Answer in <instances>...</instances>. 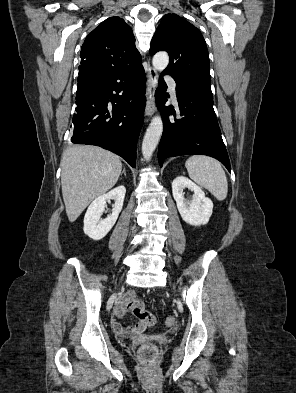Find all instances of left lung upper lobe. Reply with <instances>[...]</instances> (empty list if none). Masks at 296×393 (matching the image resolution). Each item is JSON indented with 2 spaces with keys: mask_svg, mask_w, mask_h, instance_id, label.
<instances>
[{
  "mask_svg": "<svg viewBox=\"0 0 296 393\" xmlns=\"http://www.w3.org/2000/svg\"><path fill=\"white\" fill-rule=\"evenodd\" d=\"M167 51L170 62L163 74L171 75L176 88L211 89L210 62L206 42L200 31L176 14L162 17L150 54Z\"/></svg>",
  "mask_w": 296,
  "mask_h": 393,
  "instance_id": "left-lung-upper-lobe-1",
  "label": "left lung upper lobe"
}]
</instances>
